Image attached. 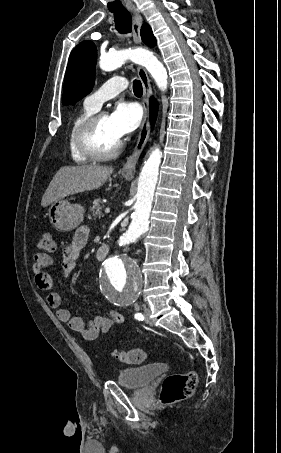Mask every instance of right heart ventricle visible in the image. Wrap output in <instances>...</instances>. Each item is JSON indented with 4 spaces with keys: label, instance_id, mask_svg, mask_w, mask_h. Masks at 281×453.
Returning <instances> with one entry per match:
<instances>
[{
    "label": "right heart ventricle",
    "instance_id": "e07e8e85",
    "mask_svg": "<svg viewBox=\"0 0 281 453\" xmlns=\"http://www.w3.org/2000/svg\"><path fill=\"white\" fill-rule=\"evenodd\" d=\"M97 111L98 110L93 109L87 102L85 107L75 116V118L71 122L68 132V144L71 156L77 163L89 161V158L85 157L79 149L78 135L83 124Z\"/></svg>",
    "mask_w": 281,
    "mask_h": 453
}]
</instances>
